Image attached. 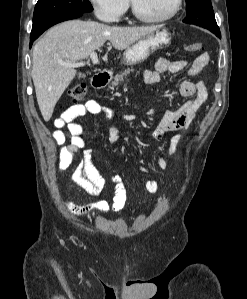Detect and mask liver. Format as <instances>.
I'll list each match as a JSON object with an SVG mask.
<instances>
[{
	"instance_id": "liver-1",
	"label": "liver",
	"mask_w": 247,
	"mask_h": 299,
	"mask_svg": "<svg viewBox=\"0 0 247 299\" xmlns=\"http://www.w3.org/2000/svg\"><path fill=\"white\" fill-rule=\"evenodd\" d=\"M161 25L120 27L79 19L51 27L33 48L32 79L43 119L50 120L55 105L76 75L62 63L89 57L107 40L124 50Z\"/></svg>"
}]
</instances>
